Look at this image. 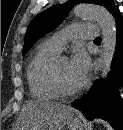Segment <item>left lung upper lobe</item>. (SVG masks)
<instances>
[{
  "instance_id": "left-lung-upper-lobe-1",
  "label": "left lung upper lobe",
  "mask_w": 123,
  "mask_h": 130,
  "mask_svg": "<svg viewBox=\"0 0 123 130\" xmlns=\"http://www.w3.org/2000/svg\"><path fill=\"white\" fill-rule=\"evenodd\" d=\"M79 2L94 3L104 6L112 15L118 9L113 0H70L63 5H54L39 13L30 23L24 40L23 54L42 35L58 26L72 6Z\"/></svg>"
}]
</instances>
